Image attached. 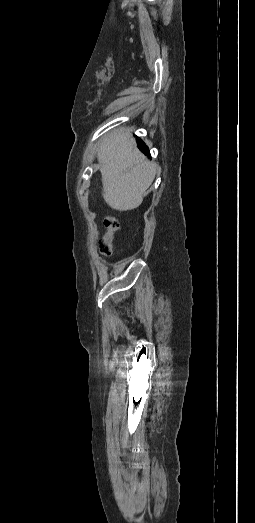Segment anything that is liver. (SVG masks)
Returning <instances> with one entry per match:
<instances>
[{
    "instance_id": "obj_1",
    "label": "liver",
    "mask_w": 255,
    "mask_h": 523,
    "mask_svg": "<svg viewBox=\"0 0 255 523\" xmlns=\"http://www.w3.org/2000/svg\"><path fill=\"white\" fill-rule=\"evenodd\" d=\"M97 152L106 204L119 212L138 208L157 174V164L139 152L124 128L105 138Z\"/></svg>"
}]
</instances>
